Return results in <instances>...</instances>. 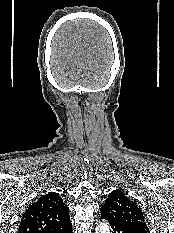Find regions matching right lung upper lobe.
Returning <instances> with one entry per match:
<instances>
[{"label": "right lung upper lobe", "mask_w": 174, "mask_h": 233, "mask_svg": "<svg viewBox=\"0 0 174 233\" xmlns=\"http://www.w3.org/2000/svg\"><path fill=\"white\" fill-rule=\"evenodd\" d=\"M70 225L69 208L58 193L49 192L22 215L19 233H55Z\"/></svg>", "instance_id": "right-lung-upper-lobe-1"}]
</instances>
